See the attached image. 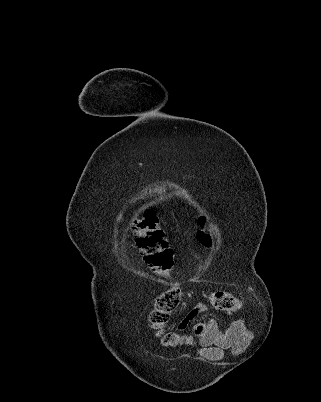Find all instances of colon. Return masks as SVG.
Instances as JSON below:
<instances>
[{"label": "colon", "mask_w": 321, "mask_h": 402, "mask_svg": "<svg viewBox=\"0 0 321 402\" xmlns=\"http://www.w3.org/2000/svg\"><path fill=\"white\" fill-rule=\"evenodd\" d=\"M207 218L201 216L199 226L206 225ZM132 229L136 237L137 245L145 256L148 266L158 275L167 277L173 266V249L171 248L165 233L158 226V217L153 209H146L142 216L132 221ZM198 239L204 247H211L212 238L205 231L200 230ZM181 293L178 288H169L160 294L154 301L149 315V322L154 328L165 346L175 347L185 343L186 337L165 331L170 316L179 306ZM212 306L222 312H237L241 303L231 292L216 290L209 296Z\"/></svg>", "instance_id": "obj_1"}]
</instances>
